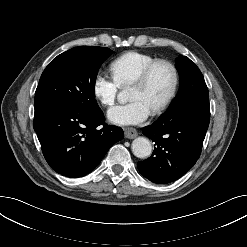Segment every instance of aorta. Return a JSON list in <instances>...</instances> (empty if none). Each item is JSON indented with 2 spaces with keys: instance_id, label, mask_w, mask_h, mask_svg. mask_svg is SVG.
<instances>
[{
  "instance_id": "obj_1",
  "label": "aorta",
  "mask_w": 247,
  "mask_h": 247,
  "mask_svg": "<svg viewBox=\"0 0 247 247\" xmlns=\"http://www.w3.org/2000/svg\"><path fill=\"white\" fill-rule=\"evenodd\" d=\"M120 103H124L128 100V93L126 90L120 92L117 96ZM133 154L138 158H147L152 153V145L150 141L145 137H137L133 140L131 146Z\"/></svg>"
}]
</instances>
